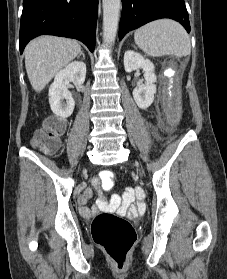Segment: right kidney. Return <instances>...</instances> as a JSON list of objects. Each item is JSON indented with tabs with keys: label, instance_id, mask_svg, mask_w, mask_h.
Instances as JSON below:
<instances>
[{
	"label": "right kidney",
	"instance_id": "ca27d5eb",
	"mask_svg": "<svg viewBox=\"0 0 227 279\" xmlns=\"http://www.w3.org/2000/svg\"><path fill=\"white\" fill-rule=\"evenodd\" d=\"M85 77L86 64L80 61L69 63L55 75L54 81L49 88V103L54 114L62 118L71 116L75 101L68 91L67 85L69 82L81 85L84 83ZM63 99L66 100V103L62 102Z\"/></svg>",
	"mask_w": 227,
	"mask_h": 279
}]
</instances>
